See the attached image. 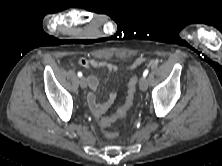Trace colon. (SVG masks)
Returning <instances> with one entry per match:
<instances>
[{
    "mask_svg": "<svg viewBox=\"0 0 222 166\" xmlns=\"http://www.w3.org/2000/svg\"><path fill=\"white\" fill-rule=\"evenodd\" d=\"M136 87H137V76L134 75L128 81L127 97H126L124 104L122 106H120L116 110V112L114 114H112L111 116H107V117H104L101 119L100 126L104 130L105 135L108 138L112 139L117 136V133L115 131L110 130V127L112 126V124L114 122H116L119 119L124 118L127 115L128 111L130 110V108L133 105Z\"/></svg>",
    "mask_w": 222,
    "mask_h": 166,
    "instance_id": "obj_1",
    "label": "colon"
}]
</instances>
